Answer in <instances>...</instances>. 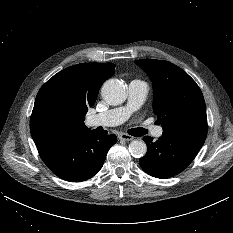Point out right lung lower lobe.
<instances>
[{
	"label": "right lung lower lobe",
	"mask_w": 233,
	"mask_h": 233,
	"mask_svg": "<svg viewBox=\"0 0 233 233\" xmlns=\"http://www.w3.org/2000/svg\"><path fill=\"white\" fill-rule=\"evenodd\" d=\"M117 141L116 135H96L92 131L57 138L37 146L47 167L58 177L85 181L102 168L108 150Z\"/></svg>",
	"instance_id": "right-lung-lower-lobe-1"
}]
</instances>
